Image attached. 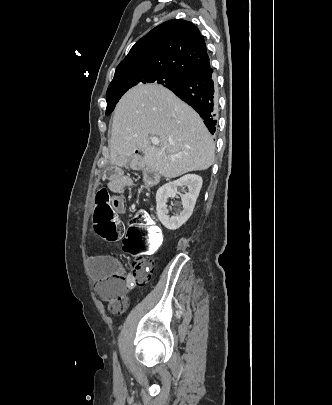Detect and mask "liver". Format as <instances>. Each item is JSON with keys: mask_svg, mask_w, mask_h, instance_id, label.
Returning <instances> with one entry per match:
<instances>
[{"mask_svg": "<svg viewBox=\"0 0 332 405\" xmlns=\"http://www.w3.org/2000/svg\"><path fill=\"white\" fill-rule=\"evenodd\" d=\"M152 137L159 139L153 145ZM111 162L129 163L135 150L144 164L166 178L208 169L215 144L199 114L170 90L147 84L133 87L118 102L110 141Z\"/></svg>", "mask_w": 332, "mask_h": 405, "instance_id": "6515ba94", "label": "liver"}]
</instances>
